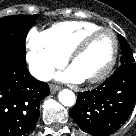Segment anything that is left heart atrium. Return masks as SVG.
I'll return each instance as SVG.
<instances>
[{
  "mask_svg": "<svg viewBox=\"0 0 136 136\" xmlns=\"http://www.w3.org/2000/svg\"><path fill=\"white\" fill-rule=\"evenodd\" d=\"M57 78L69 82H80L84 79L73 67L68 68L64 73L57 74Z\"/></svg>",
  "mask_w": 136,
  "mask_h": 136,
  "instance_id": "1",
  "label": "left heart atrium"
}]
</instances>
